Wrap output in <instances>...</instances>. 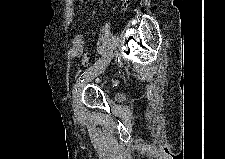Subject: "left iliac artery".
<instances>
[{
    "label": "left iliac artery",
    "instance_id": "left-iliac-artery-1",
    "mask_svg": "<svg viewBox=\"0 0 225 159\" xmlns=\"http://www.w3.org/2000/svg\"><path fill=\"white\" fill-rule=\"evenodd\" d=\"M107 55H105L104 57L102 58H99L94 64L92 67L88 68L86 71H84L78 78V80L76 81V84L74 85V89H73V92H77V87L79 86L80 83H82L84 81V79L86 78V76L88 74L91 73V71H93L95 68H97L101 63L102 61L104 60V58L106 57Z\"/></svg>",
    "mask_w": 225,
    "mask_h": 159
}]
</instances>
